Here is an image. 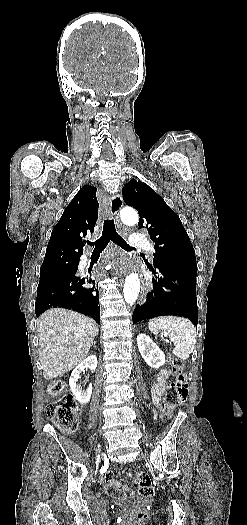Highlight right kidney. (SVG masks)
Returning <instances> with one entry per match:
<instances>
[{
  "instance_id": "right-kidney-1",
  "label": "right kidney",
  "mask_w": 247,
  "mask_h": 525,
  "mask_svg": "<svg viewBox=\"0 0 247 525\" xmlns=\"http://www.w3.org/2000/svg\"><path fill=\"white\" fill-rule=\"evenodd\" d=\"M90 369V371H95L97 369V357L96 355H90V357H87L85 361H82L80 365H77L75 369H73L71 373V377L69 379V387L76 399V401H79L81 405H87L90 401V397L92 395V385H89L88 389L86 391H83L81 385H78V381L80 379V375L84 369Z\"/></svg>"
}]
</instances>
